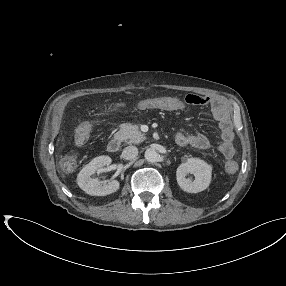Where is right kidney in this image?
<instances>
[{"label": "right kidney", "mask_w": 286, "mask_h": 286, "mask_svg": "<svg viewBox=\"0 0 286 286\" xmlns=\"http://www.w3.org/2000/svg\"><path fill=\"white\" fill-rule=\"evenodd\" d=\"M112 159L109 156H98L91 160L77 176L78 186L91 196H106L116 192L119 189V182L112 180L107 184L102 185L98 179H93L91 176L95 172H102L104 166L110 165Z\"/></svg>", "instance_id": "1"}]
</instances>
